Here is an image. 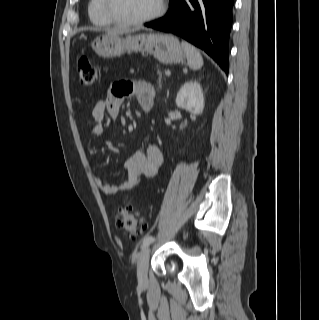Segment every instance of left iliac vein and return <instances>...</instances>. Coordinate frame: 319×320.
I'll return each mask as SVG.
<instances>
[{"label": "left iliac vein", "instance_id": "left-iliac-vein-1", "mask_svg": "<svg viewBox=\"0 0 319 320\" xmlns=\"http://www.w3.org/2000/svg\"><path fill=\"white\" fill-rule=\"evenodd\" d=\"M150 258V249L144 247L138 255L137 278L140 284L144 285L148 280V265Z\"/></svg>", "mask_w": 319, "mask_h": 320}]
</instances>
